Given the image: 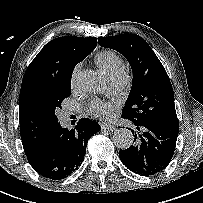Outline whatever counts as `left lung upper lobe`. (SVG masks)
<instances>
[{"label":"left lung upper lobe","mask_w":203,"mask_h":203,"mask_svg":"<svg viewBox=\"0 0 203 203\" xmlns=\"http://www.w3.org/2000/svg\"><path fill=\"white\" fill-rule=\"evenodd\" d=\"M98 44L120 52L132 68L133 83L122 109V118L133 123H178L169 77L158 57L142 37L136 34L100 37Z\"/></svg>","instance_id":"left-lung-upper-lobe-1"}]
</instances>
